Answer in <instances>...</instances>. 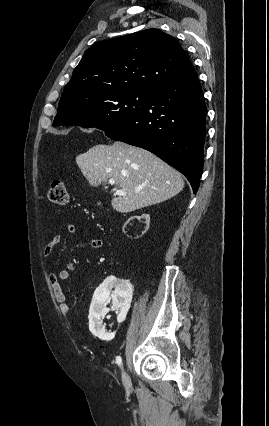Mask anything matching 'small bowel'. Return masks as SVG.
<instances>
[{"mask_svg":"<svg viewBox=\"0 0 269 426\" xmlns=\"http://www.w3.org/2000/svg\"><path fill=\"white\" fill-rule=\"evenodd\" d=\"M66 229L69 234H73L76 231V227L73 224H68ZM61 241H62L61 235H55L50 240V242L44 246L43 254L45 256H49L53 252L54 248L58 244H60ZM90 246L93 249H101L103 246V242L99 238H92L90 240ZM74 269H75L74 263L68 262L66 263L64 268L58 271H53L49 274L50 286L52 288L54 297L58 303L59 311L64 318L70 317L71 310L62 289V282L67 280L70 277V274L72 273Z\"/></svg>","mask_w":269,"mask_h":426,"instance_id":"c3829d8e","label":"small bowel"}]
</instances>
